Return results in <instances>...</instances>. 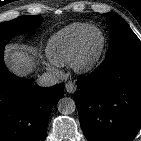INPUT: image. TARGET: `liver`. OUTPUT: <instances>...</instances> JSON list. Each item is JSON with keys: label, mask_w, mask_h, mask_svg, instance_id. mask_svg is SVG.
Returning <instances> with one entry per match:
<instances>
[{"label": "liver", "mask_w": 141, "mask_h": 141, "mask_svg": "<svg viewBox=\"0 0 141 141\" xmlns=\"http://www.w3.org/2000/svg\"><path fill=\"white\" fill-rule=\"evenodd\" d=\"M8 68L17 76L24 77L32 72L35 63L34 57L28 48L9 47L6 53Z\"/></svg>", "instance_id": "6515ba94"}]
</instances>
